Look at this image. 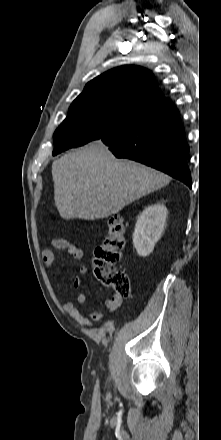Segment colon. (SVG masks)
<instances>
[{"label": "colon", "mask_w": 221, "mask_h": 440, "mask_svg": "<svg viewBox=\"0 0 221 440\" xmlns=\"http://www.w3.org/2000/svg\"><path fill=\"white\" fill-rule=\"evenodd\" d=\"M126 228L122 217L114 215L109 220L108 233L103 243L95 249L94 272L97 280L112 289L120 298L130 295L128 275L116 269L124 247Z\"/></svg>", "instance_id": "obj_1"}]
</instances>
